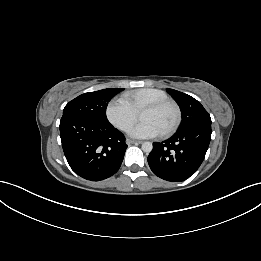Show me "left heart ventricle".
I'll return each instance as SVG.
<instances>
[{"instance_id":"b2bd125f","label":"left heart ventricle","mask_w":261,"mask_h":261,"mask_svg":"<svg viewBox=\"0 0 261 261\" xmlns=\"http://www.w3.org/2000/svg\"><path fill=\"white\" fill-rule=\"evenodd\" d=\"M141 119L154 122L164 132L172 125L175 110L171 106L159 110H144L141 113Z\"/></svg>"}]
</instances>
